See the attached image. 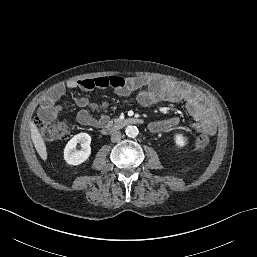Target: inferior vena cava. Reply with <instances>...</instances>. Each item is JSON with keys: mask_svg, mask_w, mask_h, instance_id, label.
Returning a JSON list of instances; mask_svg holds the SVG:
<instances>
[{"mask_svg": "<svg viewBox=\"0 0 257 257\" xmlns=\"http://www.w3.org/2000/svg\"><path fill=\"white\" fill-rule=\"evenodd\" d=\"M121 139V132L120 131H114L111 133V141L117 142Z\"/></svg>", "mask_w": 257, "mask_h": 257, "instance_id": "obj_1", "label": "inferior vena cava"}]
</instances>
